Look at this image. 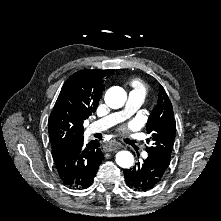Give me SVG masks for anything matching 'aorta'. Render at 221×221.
<instances>
[{
  "mask_svg": "<svg viewBox=\"0 0 221 221\" xmlns=\"http://www.w3.org/2000/svg\"><path fill=\"white\" fill-rule=\"evenodd\" d=\"M127 100V94L121 87L114 86L107 90L105 103L113 109L121 108ZM116 163L122 168L133 166L134 157L129 151H120L116 154Z\"/></svg>",
  "mask_w": 221,
  "mask_h": 221,
  "instance_id": "obj_1",
  "label": "aorta"
}]
</instances>
